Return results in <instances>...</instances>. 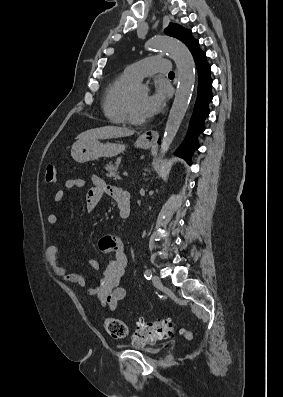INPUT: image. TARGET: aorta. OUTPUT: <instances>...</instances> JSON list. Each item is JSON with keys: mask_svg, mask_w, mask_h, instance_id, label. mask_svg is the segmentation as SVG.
Returning <instances> with one entry per match:
<instances>
[{"mask_svg": "<svg viewBox=\"0 0 283 397\" xmlns=\"http://www.w3.org/2000/svg\"><path fill=\"white\" fill-rule=\"evenodd\" d=\"M149 46L153 49L168 52L178 69V85L160 149L161 156H164L169 150L187 111L195 84V64L187 46L177 39L155 37L149 42ZM136 89L146 91L147 86L138 85Z\"/></svg>", "mask_w": 283, "mask_h": 397, "instance_id": "aorta-1", "label": "aorta"}]
</instances>
